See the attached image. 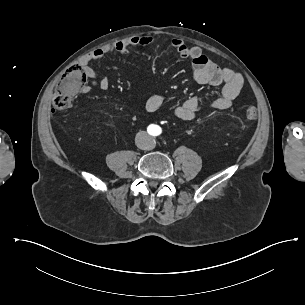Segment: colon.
I'll use <instances>...</instances> for the list:
<instances>
[{
	"label": "colon",
	"mask_w": 305,
	"mask_h": 305,
	"mask_svg": "<svg viewBox=\"0 0 305 305\" xmlns=\"http://www.w3.org/2000/svg\"><path fill=\"white\" fill-rule=\"evenodd\" d=\"M85 80L84 71L78 66L68 67L57 84V94L53 97L52 106L56 109H65L77 95L78 90ZM246 116L253 119L256 116V109L250 107L246 110Z\"/></svg>",
	"instance_id": "5ec220e1"
}]
</instances>
